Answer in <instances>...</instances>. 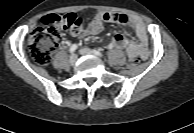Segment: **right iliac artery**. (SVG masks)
Masks as SVG:
<instances>
[{
  "mask_svg": "<svg viewBox=\"0 0 194 133\" xmlns=\"http://www.w3.org/2000/svg\"><path fill=\"white\" fill-rule=\"evenodd\" d=\"M77 48H78L77 44H73V45L70 47V49H69L70 53L73 54V53L76 51Z\"/></svg>",
  "mask_w": 194,
  "mask_h": 133,
  "instance_id": "right-iliac-artery-1",
  "label": "right iliac artery"
}]
</instances>
